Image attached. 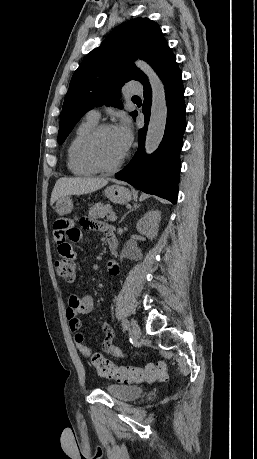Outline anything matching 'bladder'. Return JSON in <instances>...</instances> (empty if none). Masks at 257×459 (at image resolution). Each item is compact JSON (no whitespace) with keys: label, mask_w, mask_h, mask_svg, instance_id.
Segmentation results:
<instances>
[{"label":"bladder","mask_w":257,"mask_h":459,"mask_svg":"<svg viewBox=\"0 0 257 459\" xmlns=\"http://www.w3.org/2000/svg\"><path fill=\"white\" fill-rule=\"evenodd\" d=\"M106 392L118 400L130 401L142 396L144 389L136 385L110 384Z\"/></svg>","instance_id":"1"}]
</instances>
